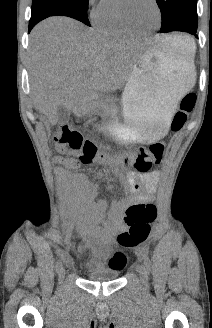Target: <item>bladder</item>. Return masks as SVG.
<instances>
[{
	"mask_svg": "<svg viewBox=\"0 0 212 328\" xmlns=\"http://www.w3.org/2000/svg\"><path fill=\"white\" fill-rule=\"evenodd\" d=\"M82 269L87 277L94 281H112L119 276L118 272L105 269L95 261L85 262Z\"/></svg>",
	"mask_w": 212,
	"mask_h": 328,
	"instance_id": "1",
	"label": "bladder"
}]
</instances>
